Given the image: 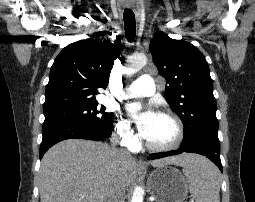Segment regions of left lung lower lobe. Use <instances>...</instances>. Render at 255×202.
<instances>
[{
	"label": "left lung lower lobe",
	"mask_w": 255,
	"mask_h": 202,
	"mask_svg": "<svg viewBox=\"0 0 255 202\" xmlns=\"http://www.w3.org/2000/svg\"><path fill=\"white\" fill-rule=\"evenodd\" d=\"M183 152L189 153H197L206 156L209 158L213 163H215L219 169L222 171V164L220 160V143L210 141L204 143H198L193 145H181L178 150L168 151V152H161L158 154H151V159H159L171 155L181 154Z\"/></svg>",
	"instance_id": "1"
}]
</instances>
